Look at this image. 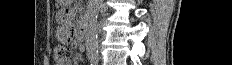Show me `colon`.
Returning a JSON list of instances; mask_svg holds the SVG:
<instances>
[{
	"label": "colon",
	"instance_id": "obj_1",
	"mask_svg": "<svg viewBox=\"0 0 232 65\" xmlns=\"http://www.w3.org/2000/svg\"><path fill=\"white\" fill-rule=\"evenodd\" d=\"M69 50L64 45H57L54 48V58L58 65L62 64L68 59Z\"/></svg>",
	"mask_w": 232,
	"mask_h": 65
}]
</instances>
